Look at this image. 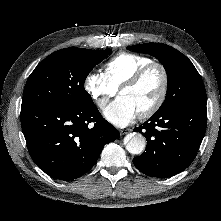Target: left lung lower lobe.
Returning <instances> with one entry per match:
<instances>
[{
	"instance_id": "0a47b994",
	"label": "left lung lower lobe",
	"mask_w": 221,
	"mask_h": 221,
	"mask_svg": "<svg viewBox=\"0 0 221 221\" xmlns=\"http://www.w3.org/2000/svg\"><path fill=\"white\" fill-rule=\"evenodd\" d=\"M134 130L147 140L146 151L133 159L136 168L152 177L173 176L196 157L206 130V106H171Z\"/></svg>"
}]
</instances>
